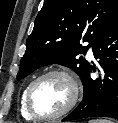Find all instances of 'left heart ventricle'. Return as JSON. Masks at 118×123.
Listing matches in <instances>:
<instances>
[{"instance_id": "b2bd125f", "label": "left heart ventricle", "mask_w": 118, "mask_h": 123, "mask_svg": "<svg viewBox=\"0 0 118 123\" xmlns=\"http://www.w3.org/2000/svg\"><path fill=\"white\" fill-rule=\"evenodd\" d=\"M71 98V86L61 76H50L40 82L32 96V104L39 115L50 116L60 112Z\"/></svg>"}]
</instances>
